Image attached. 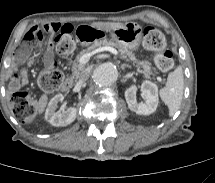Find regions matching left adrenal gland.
<instances>
[{
    "label": "left adrenal gland",
    "instance_id": "1",
    "mask_svg": "<svg viewBox=\"0 0 215 183\" xmlns=\"http://www.w3.org/2000/svg\"><path fill=\"white\" fill-rule=\"evenodd\" d=\"M125 67H127V68H130V66L129 65H127V64H121V69H125Z\"/></svg>",
    "mask_w": 215,
    "mask_h": 183
}]
</instances>
